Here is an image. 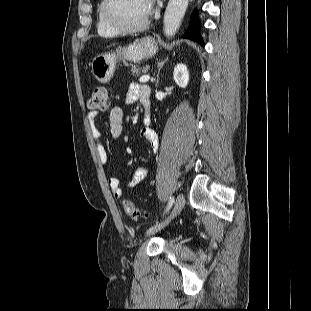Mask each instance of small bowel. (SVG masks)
Here are the masks:
<instances>
[{
    "label": "small bowel",
    "mask_w": 311,
    "mask_h": 311,
    "mask_svg": "<svg viewBox=\"0 0 311 311\" xmlns=\"http://www.w3.org/2000/svg\"><path fill=\"white\" fill-rule=\"evenodd\" d=\"M150 88L146 85H140L133 83L130 85L126 96V104H133L139 100L146 110L145 125L140 131V137L145 139L150 144L153 151H158L159 141L155 130L152 128L149 116V106H150ZM147 104L146 108L144 104ZM98 116V111L91 110L87 113L86 120L90 129L92 138L96 142V150L101 163L105 164L107 162V152L101 143V132L96 124V117ZM123 109L120 106H114L109 111V131L114 139H118L123 132ZM147 175V168L140 167L137 168L131 176L126 181L127 187H135L141 183ZM120 178L117 176H110L107 178V184L111 189L114 197L119 199L122 196V191L120 188Z\"/></svg>",
    "instance_id": "small-bowel-1"
}]
</instances>
